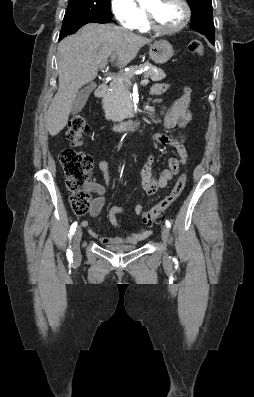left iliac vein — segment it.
I'll list each match as a JSON object with an SVG mask.
<instances>
[{
  "instance_id": "1",
  "label": "left iliac vein",
  "mask_w": 254,
  "mask_h": 397,
  "mask_svg": "<svg viewBox=\"0 0 254 397\" xmlns=\"http://www.w3.org/2000/svg\"><path fill=\"white\" fill-rule=\"evenodd\" d=\"M161 236H162L163 242L166 244V243L168 242V239H169V229H168L166 226H164V227L162 228ZM164 259H165V260L168 259V254H167V253H165Z\"/></svg>"
}]
</instances>
